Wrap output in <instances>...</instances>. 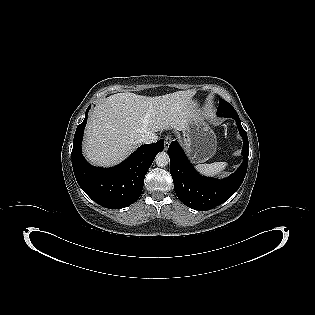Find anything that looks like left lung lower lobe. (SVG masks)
<instances>
[{"mask_svg": "<svg viewBox=\"0 0 315 315\" xmlns=\"http://www.w3.org/2000/svg\"><path fill=\"white\" fill-rule=\"evenodd\" d=\"M235 120L243 138L244 160L240 167L225 179L217 180L201 176L192 167L179 143L173 141L170 144V173L175 193L186 206L203 211L211 209L229 199L242 184L247 172L249 143L239 117Z\"/></svg>", "mask_w": 315, "mask_h": 315, "instance_id": "obj_1", "label": "left lung lower lobe"}]
</instances>
